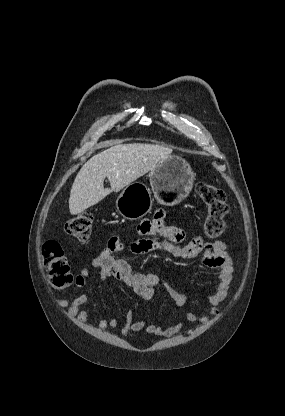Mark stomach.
<instances>
[{
	"label": "stomach",
	"mask_w": 285,
	"mask_h": 416,
	"mask_svg": "<svg viewBox=\"0 0 285 416\" xmlns=\"http://www.w3.org/2000/svg\"><path fill=\"white\" fill-rule=\"evenodd\" d=\"M155 200L162 206H177L189 196L194 174L186 160L180 156H167L149 174ZM117 212L127 220H139L152 208L151 192L145 184L132 182L116 200Z\"/></svg>",
	"instance_id": "obj_1"
}]
</instances>
